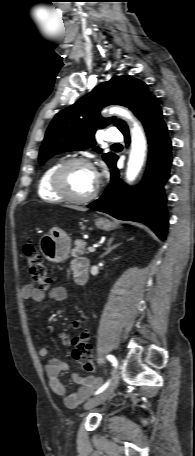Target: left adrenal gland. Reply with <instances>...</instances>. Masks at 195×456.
<instances>
[{
  "label": "left adrenal gland",
  "mask_w": 195,
  "mask_h": 456,
  "mask_svg": "<svg viewBox=\"0 0 195 456\" xmlns=\"http://www.w3.org/2000/svg\"><path fill=\"white\" fill-rule=\"evenodd\" d=\"M113 240H114L113 237L110 238V239L108 240L107 247L104 249L105 251H104V253L100 256V258H102V257H104L105 255L109 254L113 249H115L116 247H118V246L121 244V243H119V244H116V245H112Z\"/></svg>",
  "instance_id": "left-adrenal-gland-1"
}]
</instances>
